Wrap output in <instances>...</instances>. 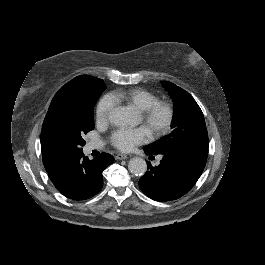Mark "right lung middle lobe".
Masks as SVG:
<instances>
[{
  "mask_svg": "<svg viewBox=\"0 0 265 265\" xmlns=\"http://www.w3.org/2000/svg\"><path fill=\"white\" fill-rule=\"evenodd\" d=\"M106 89L103 80L85 79L69 86L41 132V147L53 160L64 162L83 153V134L94 129L93 108Z\"/></svg>",
  "mask_w": 265,
  "mask_h": 265,
  "instance_id": "obj_1",
  "label": "right lung middle lobe"
}]
</instances>
